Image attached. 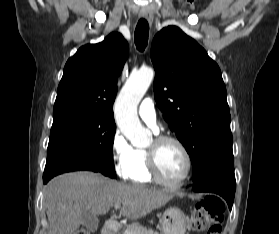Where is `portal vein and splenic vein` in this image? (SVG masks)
Instances as JSON below:
<instances>
[{
  "instance_id": "portal-vein-and-splenic-vein-1",
  "label": "portal vein and splenic vein",
  "mask_w": 279,
  "mask_h": 234,
  "mask_svg": "<svg viewBox=\"0 0 279 234\" xmlns=\"http://www.w3.org/2000/svg\"><path fill=\"white\" fill-rule=\"evenodd\" d=\"M120 207H121V204H120V203H115V204H114V208H115V209H119Z\"/></svg>"
}]
</instances>
